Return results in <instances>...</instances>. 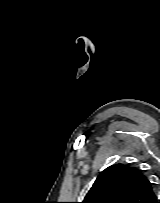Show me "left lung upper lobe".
<instances>
[{
  "mask_svg": "<svg viewBox=\"0 0 160 203\" xmlns=\"http://www.w3.org/2000/svg\"><path fill=\"white\" fill-rule=\"evenodd\" d=\"M82 203H160L153 184L134 167L116 164L103 170Z\"/></svg>",
  "mask_w": 160,
  "mask_h": 203,
  "instance_id": "obj_1",
  "label": "left lung upper lobe"
}]
</instances>
